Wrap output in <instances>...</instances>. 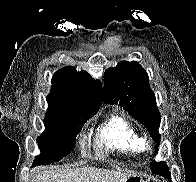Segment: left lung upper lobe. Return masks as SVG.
Returning <instances> with one entry per match:
<instances>
[{
    "mask_svg": "<svg viewBox=\"0 0 196 182\" xmlns=\"http://www.w3.org/2000/svg\"><path fill=\"white\" fill-rule=\"evenodd\" d=\"M104 77V102L121 105L134 119L146 126L158 148L160 113L146 71L135 61H121L116 67L108 68ZM150 168L154 174L161 175L171 182L165 162H153Z\"/></svg>",
    "mask_w": 196,
    "mask_h": 182,
    "instance_id": "obj_1",
    "label": "left lung upper lobe"
}]
</instances>
